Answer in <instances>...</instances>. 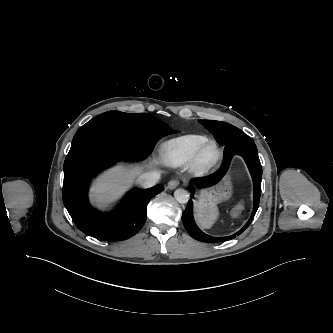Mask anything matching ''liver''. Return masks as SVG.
I'll return each mask as SVG.
<instances>
[{
	"instance_id": "1",
	"label": "liver",
	"mask_w": 333,
	"mask_h": 333,
	"mask_svg": "<svg viewBox=\"0 0 333 333\" xmlns=\"http://www.w3.org/2000/svg\"><path fill=\"white\" fill-rule=\"evenodd\" d=\"M142 166L135 167L129 178H122L123 169L118 166L107 172L92 187V198L102 205L118 199L133 183L134 178L142 173Z\"/></svg>"
}]
</instances>
